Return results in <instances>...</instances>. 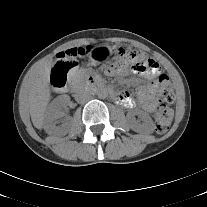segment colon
Wrapping results in <instances>:
<instances>
[{"label":"colon","instance_id":"1","mask_svg":"<svg viewBox=\"0 0 207 207\" xmlns=\"http://www.w3.org/2000/svg\"><path fill=\"white\" fill-rule=\"evenodd\" d=\"M94 53L91 47H79L66 50L58 55L59 61L53 64L52 72L49 76L50 84L53 87L61 88L67 84L68 76L71 72L70 65L77 61H84ZM117 56L123 60H128L132 69L140 70L148 76L154 77L160 73V64L150 56L139 51L120 47L117 50ZM160 84L158 92V104L155 111L156 130L163 134L168 131L172 123L173 111L168 106L174 100L173 87L165 74L158 77Z\"/></svg>","mask_w":207,"mask_h":207}]
</instances>
